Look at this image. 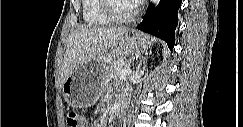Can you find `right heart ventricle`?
Here are the masks:
<instances>
[{"mask_svg": "<svg viewBox=\"0 0 243 127\" xmlns=\"http://www.w3.org/2000/svg\"><path fill=\"white\" fill-rule=\"evenodd\" d=\"M103 0H83L82 18L88 26H102L110 24L111 19L105 14Z\"/></svg>", "mask_w": 243, "mask_h": 127, "instance_id": "1", "label": "right heart ventricle"}]
</instances>
